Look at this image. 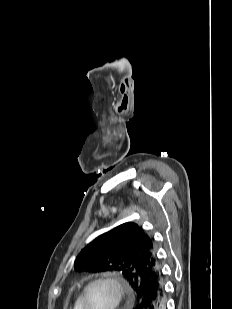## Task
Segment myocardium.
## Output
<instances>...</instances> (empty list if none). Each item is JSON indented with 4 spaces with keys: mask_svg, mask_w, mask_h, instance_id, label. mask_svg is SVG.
<instances>
[{
    "mask_svg": "<svg viewBox=\"0 0 232 309\" xmlns=\"http://www.w3.org/2000/svg\"><path fill=\"white\" fill-rule=\"evenodd\" d=\"M98 283H104L110 285L113 290L115 291V303L111 307V309H120L123 305L124 300L127 297V289L122 282V280L114 275H100L93 279H91L84 287L80 300H81V309H87V293L91 286L98 284Z\"/></svg>",
    "mask_w": 232,
    "mask_h": 309,
    "instance_id": "1",
    "label": "myocardium"
}]
</instances>
